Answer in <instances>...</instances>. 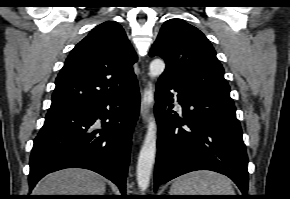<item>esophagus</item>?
I'll return each instance as SVG.
<instances>
[{
  "mask_svg": "<svg viewBox=\"0 0 290 199\" xmlns=\"http://www.w3.org/2000/svg\"><path fill=\"white\" fill-rule=\"evenodd\" d=\"M153 101V84L151 81H148L143 94H142V101H141V117L143 122H147L149 108Z\"/></svg>",
  "mask_w": 290,
  "mask_h": 199,
  "instance_id": "obj_1",
  "label": "esophagus"
}]
</instances>
